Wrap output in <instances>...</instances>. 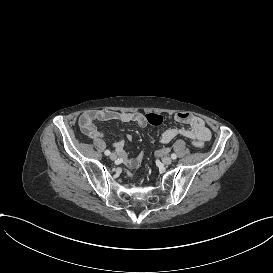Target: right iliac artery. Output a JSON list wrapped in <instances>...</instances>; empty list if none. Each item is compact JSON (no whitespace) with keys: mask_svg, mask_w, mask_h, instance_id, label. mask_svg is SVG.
<instances>
[{"mask_svg":"<svg viewBox=\"0 0 273 273\" xmlns=\"http://www.w3.org/2000/svg\"><path fill=\"white\" fill-rule=\"evenodd\" d=\"M105 155H106V156L110 155V151H109V150H106V151H105Z\"/></svg>","mask_w":273,"mask_h":273,"instance_id":"obj_1","label":"right iliac artery"}]
</instances>
